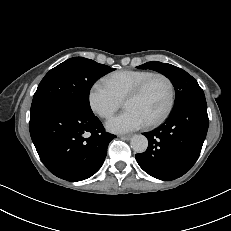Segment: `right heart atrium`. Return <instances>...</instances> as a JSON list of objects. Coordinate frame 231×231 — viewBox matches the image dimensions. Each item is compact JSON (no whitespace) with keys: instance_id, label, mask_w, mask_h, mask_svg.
<instances>
[{"instance_id":"right-heart-atrium-1","label":"right heart atrium","mask_w":231,"mask_h":231,"mask_svg":"<svg viewBox=\"0 0 231 231\" xmlns=\"http://www.w3.org/2000/svg\"><path fill=\"white\" fill-rule=\"evenodd\" d=\"M88 103L96 115L107 119L120 108L122 101L103 81H97L88 92Z\"/></svg>"}]
</instances>
